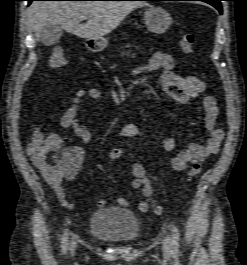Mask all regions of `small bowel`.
I'll use <instances>...</instances> for the list:
<instances>
[{"label": "small bowel", "instance_id": "small-bowel-1", "mask_svg": "<svg viewBox=\"0 0 247 265\" xmlns=\"http://www.w3.org/2000/svg\"><path fill=\"white\" fill-rule=\"evenodd\" d=\"M175 59L169 53L156 52L149 64L135 70V74L146 71H159L157 86L161 88L174 101L187 105L193 100L201 97L206 90V84L195 76H182L174 71ZM102 96V92L97 88L80 90L73 98L72 104L64 111L61 116V127L71 130L73 134L81 139L84 143L91 140V132L89 127L78 120V114L82 99L88 97L98 100ZM201 105L204 111V126L209 131V135L204 143L191 142L184 149L178 151L172 159V166L177 171H183L190 163L203 161L207 156L215 154L219 151L220 145L224 139V131L216 127V121L219 115V108L214 96L205 95L201 98ZM120 136L125 139L136 138L141 135V130L134 123H126L120 128ZM61 143V139L57 135H52ZM156 140L165 151H174L177 148V140L169 135H158ZM64 151L71 159L69 171L63 177H53L46 171L40 169L45 177L47 184L52 188L56 197L62 206L67 209L74 210L75 203L67 198L66 190L63 183L72 181L79 173L85 159V151L79 146H70L64 148ZM36 164V163H35ZM37 165V164H36ZM131 181L133 188L141 189L146 200H141L137 207L141 212H147L149 209L148 200L153 196V187L150 179L146 175L143 164L133 162L130 166ZM115 201L123 207L128 206V201L124 198H116ZM108 200L101 199L97 206L103 208L107 205Z\"/></svg>", "mask_w": 247, "mask_h": 265}]
</instances>
